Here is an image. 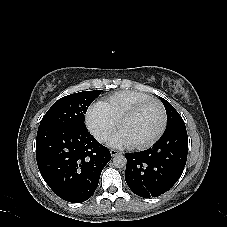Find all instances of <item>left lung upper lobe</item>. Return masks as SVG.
<instances>
[{
	"mask_svg": "<svg viewBox=\"0 0 227 227\" xmlns=\"http://www.w3.org/2000/svg\"><path fill=\"white\" fill-rule=\"evenodd\" d=\"M160 100L162 101L166 113H167V127H180L185 126V123L179 113L175 110V108L164 98L160 97Z\"/></svg>",
	"mask_w": 227,
	"mask_h": 227,
	"instance_id": "left-lung-upper-lobe-1",
	"label": "left lung upper lobe"
}]
</instances>
